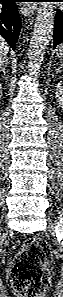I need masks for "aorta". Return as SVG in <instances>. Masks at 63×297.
Listing matches in <instances>:
<instances>
[{
	"instance_id": "aorta-1",
	"label": "aorta",
	"mask_w": 63,
	"mask_h": 297,
	"mask_svg": "<svg viewBox=\"0 0 63 297\" xmlns=\"http://www.w3.org/2000/svg\"><path fill=\"white\" fill-rule=\"evenodd\" d=\"M54 30V9L51 3H41L35 20L28 50V70L35 76L44 60Z\"/></svg>"
}]
</instances>
